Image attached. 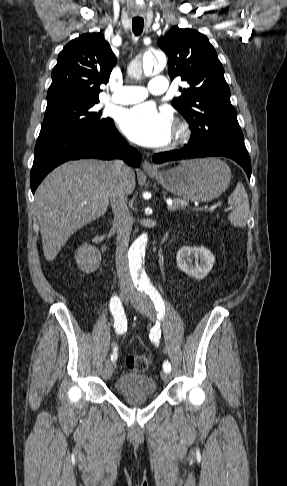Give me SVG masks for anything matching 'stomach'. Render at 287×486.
<instances>
[{
    "label": "stomach",
    "mask_w": 287,
    "mask_h": 486,
    "mask_svg": "<svg viewBox=\"0 0 287 486\" xmlns=\"http://www.w3.org/2000/svg\"><path fill=\"white\" fill-rule=\"evenodd\" d=\"M148 174L179 198L197 202L219 197L231 180L230 168L218 158L184 160L174 168Z\"/></svg>",
    "instance_id": "stomach-1"
}]
</instances>
